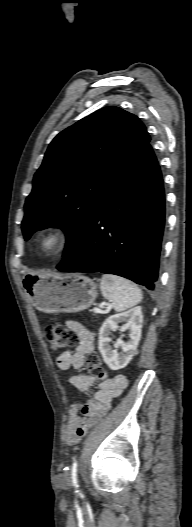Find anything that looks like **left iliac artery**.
Wrapping results in <instances>:
<instances>
[{
    "label": "left iliac artery",
    "instance_id": "left-iliac-artery-1",
    "mask_svg": "<svg viewBox=\"0 0 192 527\" xmlns=\"http://www.w3.org/2000/svg\"><path fill=\"white\" fill-rule=\"evenodd\" d=\"M72 482L75 487H78V479H77V461H74L72 466Z\"/></svg>",
    "mask_w": 192,
    "mask_h": 527
}]
</instances>
